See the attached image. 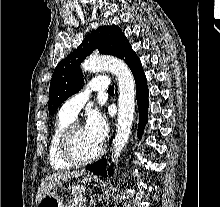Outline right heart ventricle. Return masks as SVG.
Returning <instances> with one entry per match:
<instances>
[{"label":"right heart ventricle","instance_id":"obj_1","mask_svg":"<svg viewBox=\"0 0 220 207\" xmlns=\"http://www.w3.org/2000/svg\"><path fill=\"white\" fill-rule=\"evenodd\" d=\"M72 118L59 113L51 134L48 147V160L54 170H65L72 167V164L63 159L60 153L59 141L65 128L71 124Z\"/></svg>","mask_w":220,"mask_h":207}]
</instances>
